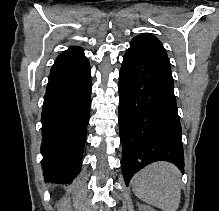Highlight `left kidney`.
<instances>
[{
  "label": "left kidney",
  "mask_w": 219,
  "mask_h": 211,
  "mask_svg": "<svg viewBox=\"0 0 219 211\" xmlns=\"http://www.w3.org/2000/svg\"><path fill=\"white\" fill-rule=\"evenodd\" d=\"M146 211H155V209H152V207H145Z\"/></svg>",
  "instance_id": "1"
}]
</instances>
